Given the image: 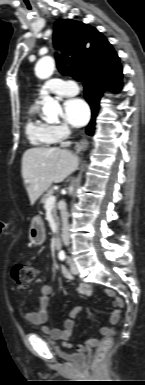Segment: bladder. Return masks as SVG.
I'll use <instances>...</instances> for the list:
<instances>
[{
  "label": "bladder",
  "instance_id": "bladder-1",
  "mask_svg": "<svg viewBox=\"0 0 145 385\" xmlns=\"http://www.w3.org/2000/svg\"><path fill=\"white\" fill-rule=\"evenodd\" d=\"M51 344H53V342L52 341H49ZM71 357H75V360L77 361V362H84L85 361V355H82V354H78V355H73V356H71Z\"/></svg>",
  "mask_w": 145,
  "mask_h": 385
}]
</instances>
